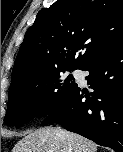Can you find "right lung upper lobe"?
Listing matches in <instances>:
<instances>
[{
  "label": "right lung upper lobe",
  "mask_w": 123,
  "mask_h": 152,
  "mask_svg": "<svg viewBox=\"0 0 123 152\" xmlns=\"http://www.w3.org/2000/svg\"><path fill=\"white\" fill-rule=\"evenodd\" d=\"M123 40V0H57L41 9L27 30L12 71L9 92L49 71L83 69ZM78 50L77 59L75 54Z\"/></svg>",
  "instance_id": "right-lung-upper-lobe-1"
}]
</instances>
